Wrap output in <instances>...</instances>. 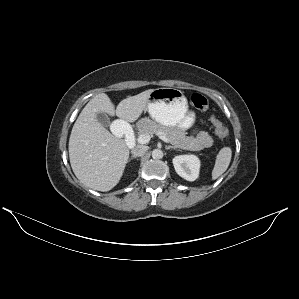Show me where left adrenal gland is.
Here are the masks:
<instances>
[{"instance_id": "left-adrenal-gland-1", "label": "left adrenal gland", "mask_w": 299, "mask_h": 299, "mask_svg": "<svg viewBox=\"0 0 299 299\" xmlns=\"http://www.w3.org/2000/svg\"><path fill=\"white\" fill-rule=\"evenodd\" d=\"M165 148L168 149H176L174 146H165Z\"/></svg>"}]
</instances>
